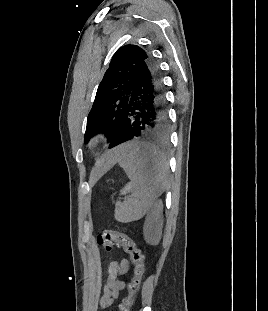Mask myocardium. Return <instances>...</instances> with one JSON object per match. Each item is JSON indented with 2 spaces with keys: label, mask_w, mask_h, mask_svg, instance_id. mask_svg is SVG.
<instances>
[{
  "label": "myocardium",
  "mask_w": 268,
  "mask_h": 311,
  "mask_svg": "<svg viewBox=\"0 0 268 311\" xmlns=\"http://www.w3.org/2000/svg\"><path fill=\"white\" fill-rule=\"evenodd\" d=\"M104 140V134L103 133H98L93 136V138L89 142V146L91 148H96L99 146Z\"/></svg>",
  "instance_id": "1"
}]
</instances>
